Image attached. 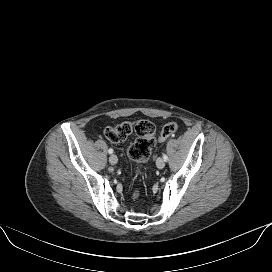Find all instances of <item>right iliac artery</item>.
<instances>
[{"label":"right iliac artery","mask_w":272,"mask_h":272,"mask_svg":"<svg viewBox=\"0 0 272 272\" xmlns=\"http://www.w3.org/2000/svg\"><path fill=\"white\" fill-rule=\"evenodd\" d=\"M108 153H109V154H112V153H113V149L110 148V149L108 150Z\"/></svg>","instance_id":"obj_1"}]
</instances>
